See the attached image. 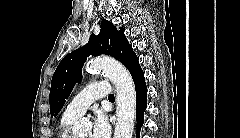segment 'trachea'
<instances>
[{
  "label": "trachea",
  "mask_w": 240,
  "mask_h": 138,
  "mask_svg": "<svg viewBox=\"0 0 240 138\" xmlns=\"http://www.w3.org/2000/svg\"><path fill=\"white\" fill-rule=\"evenodd\" d=\"M109 100H114V94H110L109 97H108Z\"/></svg>",
  "instance_id": "obj_1"
}]
</instances>
